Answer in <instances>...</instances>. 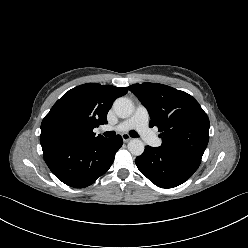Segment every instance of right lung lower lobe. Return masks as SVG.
<instances>
[{"instance_id":"obj_1","label":"right lung lower lobe","mask_w":248,"mask_h":248,"mask_svg":"<svg viewBox=\"0 0 248 248\" xmlns=\"http://www.w3.org/2000/svg\"><path fill=\"white\" fill-rule=\"evenodd\" d=\"M122 144L121 136L116 135L89 142L48 144L42 150L46 164L59 180L83 188L110 168Z\"/></svg>"}]
</instances>
